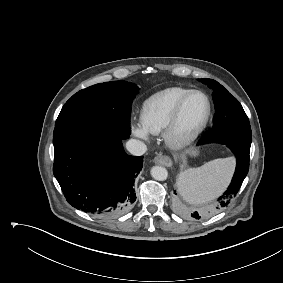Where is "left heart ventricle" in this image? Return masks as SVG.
<instances>
[{"instance_id":"obj_1","label":"left heart ventricle","mask_w":283,"mask_h":283,"mask_svg":"<svg viewBox=\"0 0 283 283\" xmlns=\"http://www.w3.org/2000/svg\"><path fill=\"white\" fill-rule=\"evenodd\" d=\"M206 111V103L201 95H192L185 102L178 121L177 132L186 135L202 121Z\"/></svg>"}]
</instances>
